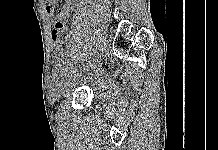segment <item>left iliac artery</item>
<instances>
[{
  "mask_svg": "<svg viewBox=\"0 0 218 150\" xmlns=\"http://www.w3.org/2000/svg\"><path fill=\"white\" fill-rule=\"evenodd\" d=\"M72 74H73L72 71H66V72H65V75H66V76H72Z\"/></svg>",
  "mask_w": 218,
  "mask_h": 150,
  "instance_id": "44dca946",
  "label": "left iliac artery"
}]
</instances>
